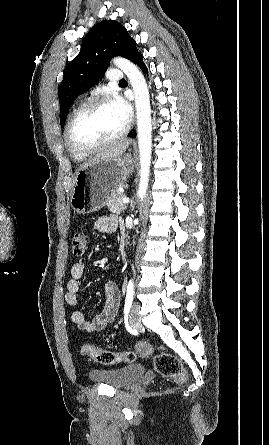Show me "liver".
I'll list each match as a JSON object with an SVG mask.
<instances>
[{
    "label": "liver",
    "mask_w": 269,
    "mask_h": 445,
    "mask_svg": "<svg viewBox=\"0 0 269 445\" xmlns=\"http://www.w3.org/2000/svg\"><path fill=\"white\" fill-rule=\"evenodd\" d=\"M130 140H125L123 142L117 143L113 146L108 147L107 149L103 150L101 153H99L96 157L88 161L87 163L83 164L81 168H84L90 164L99 162L100 160H112L116 159L122 156V154L125 152L127 147L130 145ZM80 168V169H81Z\"/></svg>",
    "instance_id": "6515ba94"
}]
</instances>
